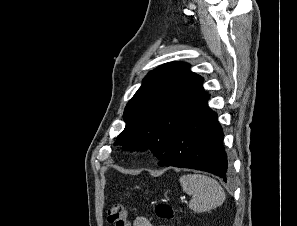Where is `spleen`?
Wrapping results in <instances>:
<instances>
[{"instance_id": "spleen-1", "label": "spleen", "mask_w": 297, "mask_h": 226, "mask_svg": "<svg viewBox=\"0 0 297 226\" xmlns=\"http://www.w3.org/2000/svg\"><path fill=\"white\" fill-rule=\"evenodd\" d=\"M182 189L192 195L189 209L205 212L223 204L225 192L213 178L201 174H186L179 179Z\"/></svg>"}]
</instances>
